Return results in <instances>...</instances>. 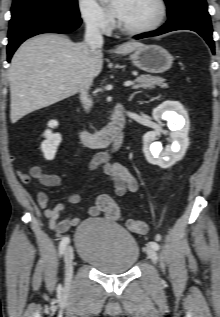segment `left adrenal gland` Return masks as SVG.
Here are the masks:
<instances>
[{
	"label": "left adrenal gland",
	"instance_id": "a2214340",
	"mask_svg": "<svg viewBox=\"0 0 220 317\" xmlns=\"http://www.w3.org/2000/svg\"><path fill=\"white\" fill-rule=\"evenodd\" d=\"M138 92H134L130 95L129 97V101H132V99L134 98V96L137 94Z\"/></svg>",
	"mask_w": 220,
	"mask_h": 317
}]
</instances>
